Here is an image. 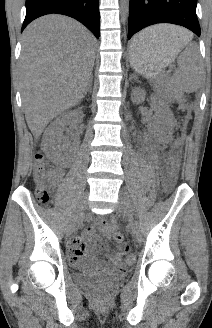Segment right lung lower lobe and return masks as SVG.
<instances>
[{"label": "right lung lower lobe", "mask_w": 212, "mask_h": 328, "mask_svg": "<svg viewBox=\"0 0 212 328\" xmlns=\"http://www.w3.org/2000/svg\"><path fill=\"white\" fill-rule=\"evenodd\" d=\"M51 13L75 18L96 38L100 36L99 0H26V16L21 31L34 19Z\"/></svg>", "instance_id": "obj_1"}]
</instances>
